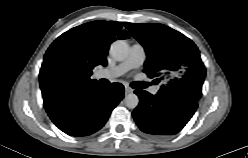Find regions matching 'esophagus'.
<instances>
[{
	"mask_svg": "<svg viewBox=\"0 0 248 158\" xmlns=\"http://www.w3.org/2000/svg\"><path fill=\"white\" fill-rule=\"evenodd\" d=\"M133 92V89L130 88L129 86L125 85V94H129V93H132Z\"/></svg>",
	"mask_w": 248,
	"mask_h": 158,
	"instance_id": "obj_1",
	"label": "esophagus"
}]
</instances>
